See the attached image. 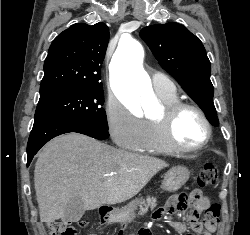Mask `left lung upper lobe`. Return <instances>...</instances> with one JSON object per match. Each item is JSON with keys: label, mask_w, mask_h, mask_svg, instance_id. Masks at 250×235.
Listing matches in <instances>:
<instances>
[{"label": "left lung upper lobe", "mask_w": 250, "mask_h": 235, "mask_svg": "<svg viewBox=\"0 0 250 235\" xmlns=\"http://www.w3.org/2000/svg\"><path fill=\"white\" fill-rule=\"evenodd\" d=\"M140 36L162 68L177 80L207 119L218 126L210 80L211 65L200 39L176 22L145 27Z\"/></svg>", "instance_id": "1"}]
</instances>
